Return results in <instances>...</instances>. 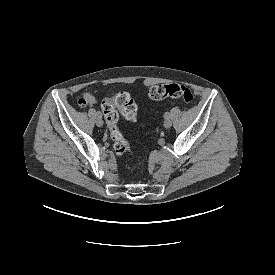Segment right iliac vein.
<instances>
[{
  "mask_svg": "<svg viewBox=\"0 0 275 275\" xmlns=\"http://www.w3.org/2000/svg\"><path fill=\"white\" fill-rule=\"evenodd\" d=\"M103 120H102V118L101 117H97V119H96V124H97V126H99V127H101V126H103Z\"/></svg>",
  "mask_w": 275,
  "mask_h": 275,
  "instance_id": "right-iliac-vein-1",
  "label": "right iliac vein"
}]
</instances>
